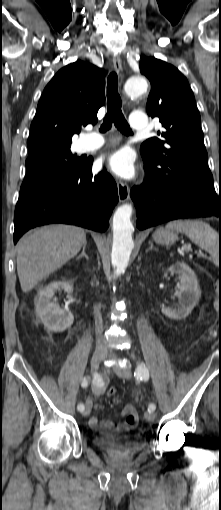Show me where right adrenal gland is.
Here are the masks:
<instances>
[{
	"mask_svg": "<svg viewBox=\"0 0 221 510\" xmlns=\"http://www.w3.org/2000/svg\"><path fill=\"white\" fill-rule=\"evenodd\" d=\"M86 246H87V242L83 245L81 254L76 257L77 260L81 259L82 257H85L87 260H89L88 255L85 253Z\"/></svg>",
	"mask_w": 221,
	"mask_h": 510,
	"instance_id": "2a0ac1e0",
	"label": "right adrenal gland"
}]
</instances>
